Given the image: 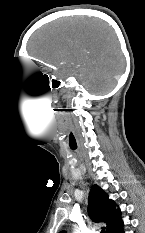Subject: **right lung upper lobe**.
Masks as SVG:
<instances>
[{
	"label": "right lung upper lobe",
	"instance_id": "obj_1",
	"mask_svg": "<svg viewBox=\"0 0 145 233\" xmlns=\"http://www.w3.org/2000/svg\"><path fill=\"white\" fill-rule=\"evenodd\" d=\"M88 212L94 222L106 223V233H110L122 221L120 209H116L115 202L98 185H94L90 191Z\"/></svg>",
	"mask_w": 145,
	"mask_h": 233
}]
</instances>
